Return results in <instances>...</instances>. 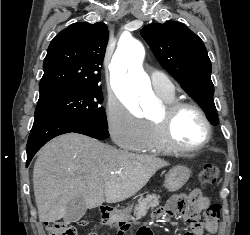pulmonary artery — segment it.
Segmentation results:
<instances>
[{"label": "pulmonary artery", "instance_id": "pulmonary-artery-1", "mask_svg": "<svg viewBox=\"0 0 250 235\" xmlns=\"http://www.w3.org/2000/svg\"><path fill=\"white\" fill-rule=\"evenodd\" d=\"M152 87L157 95H174V86L170 79L162 73L154 72L151 74Z\"/></svg>", "mask_w": 250, "mask_h": 235}]
</instances>
